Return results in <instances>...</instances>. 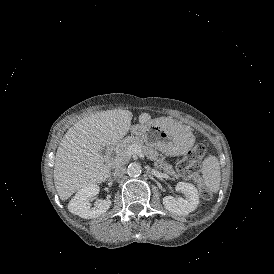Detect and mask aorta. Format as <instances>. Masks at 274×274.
<instances>
[{"instance_id":"obj_1","label":"aorta","mask_w":274,"mask_h":274,"mask_svg":"<svg viewBox=\"0 0 274 274\" xmlns=\"http://www.w3.org/2000/svg\"><path fill=\"white\" fill-rule=\"evenodd\" d=\"M128 175L131 177H137L141 174V165L137 162H133L128 166Z\"/></svg>"}]
</instances>
